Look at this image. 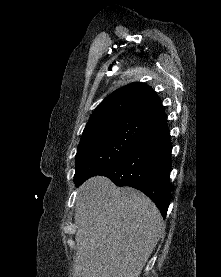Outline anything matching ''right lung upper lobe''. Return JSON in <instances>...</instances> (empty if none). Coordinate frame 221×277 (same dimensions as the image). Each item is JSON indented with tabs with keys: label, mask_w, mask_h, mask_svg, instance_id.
<instances>
[{
	"label": "right lung upper lobe",
	"mask_w": 221,
	"mask_h": 277,
	"mask_svg": "<svg viewBox=\"0 0 221 277\" xmlns=\"http://www.w3.org/2000/svg\"><path fill=\"white\" fill-rule=\"evenodd\" d=\"M160 107L161 101L151 87L131 83L111 93L97 106L84 131L102 125L140 123L144 115Z\"/></svg>",
	"instance_id": "obj_1"
}]
</instances>
